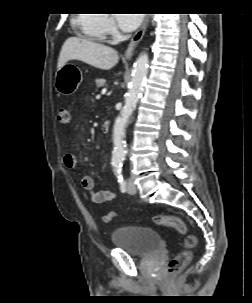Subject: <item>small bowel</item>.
I'll return each mask as SVG.
<instances>
[{
    "label": "small bowel",
    "instance_id": "c3829d8e",
    "mask_svg": "<svg viewBox=\"0 0 252 303\" xmlns=\"http://www.w3.org/2000/svg\"><path fill=\"white\" fill-rule=\"evenodd\" d=\"M63 162L68 170H75L77 168V159L73 153H66ZM80 183L82 188L89 193L90 201L92 203L101 204L111 201L116 197L113 192L108 190L94 191V180L89 175L83 176Z\"/></svg>",
    "mask_w": 252,
    "mask_h": 303
}]
</instances>
